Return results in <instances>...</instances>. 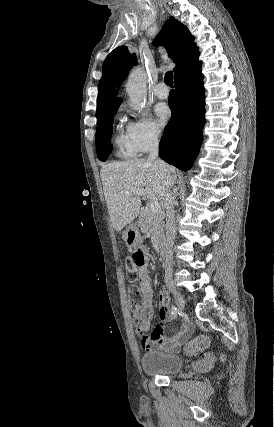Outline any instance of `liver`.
<instances>
[{
  "label": "liver",
  "mask_w": 274,
  "mask_h": 427,
  "mask_svg": "<svg viewBox=\"0 0 274 427\" xmlns=\"http://www.w3.org/2000/svg\"><path fill=\"white\" fill-rule=\"evenodd\" d=\"M177 174L176 168L162 160H127L102 166L101 182L114 229L120 231L140 214V196H126L125 192L145 190L150 202H160L168 182L175 184Z\"/></svg>",
  "instance_id": "obj_1"
}]
</instances>
